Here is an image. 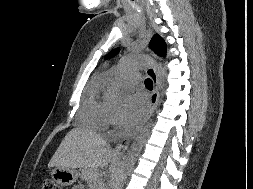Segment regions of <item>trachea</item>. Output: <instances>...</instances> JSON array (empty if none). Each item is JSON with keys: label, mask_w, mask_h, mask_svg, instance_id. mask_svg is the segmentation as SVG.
<instances>
[{"label": "trachea", "mask_w": 253, "mask_h": 189, "mask_svg": "<svg viewBox=\"0 0 253 189\" xmlns=\"http://www.w3.org/2000/svg\"><path fill=\"white\" fill-rule=\"evenodd\" d=\"M145 86H146V88H147L148 90H152V88H153L152 80L149 79V78H147V79L145 80Z\"/></svg>", "instance_id": "1"}]
</instances>
